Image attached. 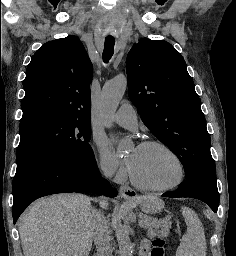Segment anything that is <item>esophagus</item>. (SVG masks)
<instances>
[{
	"mask_svg": "<svg viewBox=\"0 0 236 256\" xmlns=\"http://www.w3.org/2000/svg\"><path fill=\"white\" fill-rule=\"evenodd\" d=\"M119 193L125 200H135L138 196L136 191L126 184L120 186Z\"/></svg>",
	"mask_w": 236,
	"mask_h": 256,
	"instance_id": "esophagus-1",
	"label": "esophagus"
}]
</instances>
